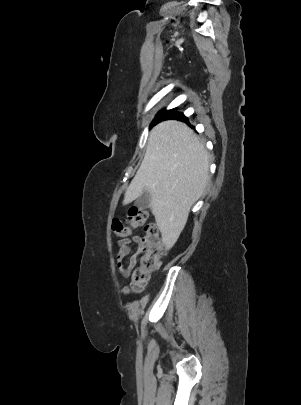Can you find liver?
I'll return each mask as SVG.
<instances>
[{
  "mask_svg": "<svg viewBox=\"0 0 301 405\" xmlns=\"http://www.w3.org/2000/svg\"><path fill=\"white\" fill-rule=\"evenodd\" d=\"M209 153L185 123L168 120L149 135L139 170L127 188L128 205L144 191L167 249L184 229L192 205L202 196L209 180Z\"/></svg>",
  "mask_w": 301,
  "mask_h": 405,
  "instance_id": "liver-1",
  "label": "liver"
}]
</instances>
